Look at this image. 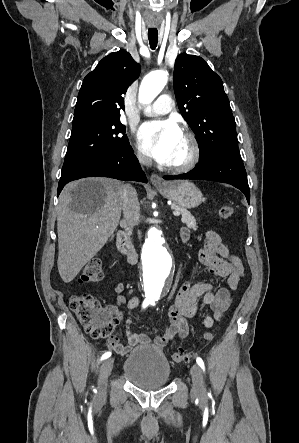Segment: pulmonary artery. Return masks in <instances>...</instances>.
<instances>
[{"mask_svg": "<svg viewBox=\"0 0 299 443\" xmlns=\"http://www.w3.org/2000/svg\"><path fill=\"white\" fill-rule=\"evenodd\" d=\"M173 101L170 95L162 94L158 99L145 110L148 115H163L173 109Z\"/></svg>", "mask_w": 299, "mask_h": 443, "instance_id": "obj_1", "label": "pulmonary artery"}]
</instances>
